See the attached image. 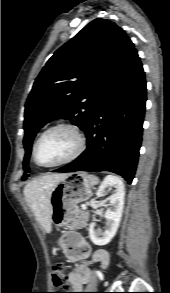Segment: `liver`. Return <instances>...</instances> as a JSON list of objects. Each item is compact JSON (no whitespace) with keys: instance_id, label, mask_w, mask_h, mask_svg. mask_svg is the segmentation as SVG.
<instances>
[{"instance_id":"6515ba94","label":"liver","mask_w":170,"mask_h":293,"mask_svg":"<svg viewBox=\"0 0 170 293\" xmlns=\"http://www.w3.org/2000/svg\"><path fill=\"white\" fill-rule=\"evenodd\" d=\"M66 175L65 173L46 174L32 180L24 188L25 199L46 233L51 232L50 196L52 189Z\"/></svg>"}]
</instances>
